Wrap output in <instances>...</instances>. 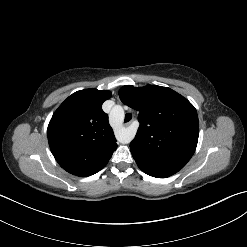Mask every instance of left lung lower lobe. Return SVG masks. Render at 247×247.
<instances>
[{
    "label": "left lung lower lobe",
    "mask_w": 247,
    "mask_h": 247,
    "mask_svg": "<svg viewBox=\"0 0 247 247\" xmlns=\"http://www.w3.org/2000/svg\"><path fill=\"white\" fill-rule=\"evenodd\" d=\"M138 167L143 171L145 172L146 174L150 175V176H153V177H157V178H166V177H169L171 175H168V174H162L150 167H147L146 165L144 164H141L140 162L136 161Z\"/></svg>",
    "instance_id": "obj_1"
}]
</instances>
